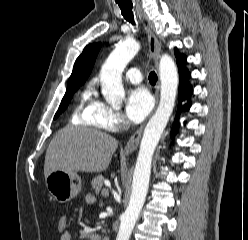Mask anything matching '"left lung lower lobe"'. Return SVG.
<instances>
[{"mask_svg":"<svg viewBox=\"0 0 248 240\" xmlns=\"http://www.w3.org/2000/svg\"><path fill=\"white\" fill-rule=\"evenodd\" d=\"M187 63V57L185 56L180 61H177L178 67H179V76H180V84H179V106L176 114V118L173 124L172 128V135L176 134L178 131L179 126V115L180 112L188 111L191 107V102L188 101L183 106L181 105V102L184 100H188L189 97L193 94V88L191 84L189 83V79L191 78V73L188 71V69L185 67ZM186 124V122H184Z\"/></svg>","mask_w":248,"mask_h":240,"instance_id":"1","label":"left lung lower lobe"}]
</instances>
